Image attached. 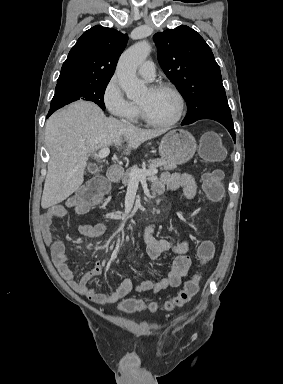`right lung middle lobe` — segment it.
I'll return each instance as SVG.
<instances>
[{
  "label": "right lung middle lobe",
  "mask_w": 283,
  "mask_h": 384,
  "mask_svg": "<svg viewBox=\"0 0 283 384\" xmlns=\"http://www.w3.org/2000/svg\"><path fill=\"white\" fill-rule=\"evenodd\" d=\"M108 82L109 81L76 83L56 86L50 109L57 110L73 101L88 100L96 103L105 110L103 97Z\"/></svg>",
  "instance_id": "1"
}]
</instances>
